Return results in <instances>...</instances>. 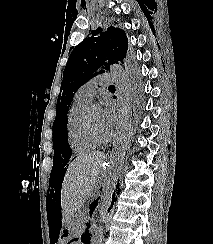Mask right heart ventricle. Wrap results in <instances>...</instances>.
I'll list each match as a JSON object with an SVG mask.
<instances>
[{
    "label": "right heart ventricle",
    "instance_id": "e07e8e85",
    "mask_svg": "<svg viewBox=\"0 0 213 244\" xmlns=\"http://www.w3.org/2000/svg\"><path fill=\"white\" fill-rule=\"evenodd\" d=\"M90 101L75 95L73 103L67 114V139L71 149L77 153H86L94 150L96 143L88 134L85 116Z\"/></svg>",
    "mask_w": 213,
    "mask_h": 244
}]
</instances>
